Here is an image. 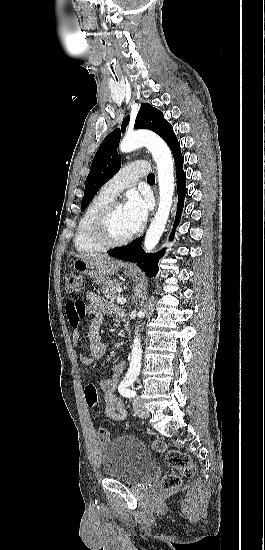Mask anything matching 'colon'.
I'll return each mask as SVG.
<instances>
[{
  "label": "colon",
  "mask_w": 265,
  "mask_h": 550,
  "mask_svg": "<svg viewBox=\"0 0 265 550\" xmlns=\"http://www.w3.org/2000/svg\"><path fill=\"white\" fill-rule=\"evenodd\" d=\"M64 287L65 292L69 296H75L79 294L84 288V279L81 275L74 272H67L64 275ZM74 306L78 307V313L71 315L69 320L70 325L74 328L79 325L80 319L83 316L85 304L81 300L73 302ZM84 398L87 406L91 409L97 410L99 405V398L97 389L93 384H88L84 389ZM98 439L101 443L105 444L110 439L109 431L106 428H99ZM153 448L157 452L166 451V447L162 441L156 440L153 443ZM166 461L169 466L179 472L181 476H192L196 472V468L191 458L178 450H167ZM180 475L168 474L162 481L164 489H174L181 483Z\"/></svg>",
  "instance_id": "obj_1"
}]
</instances>
